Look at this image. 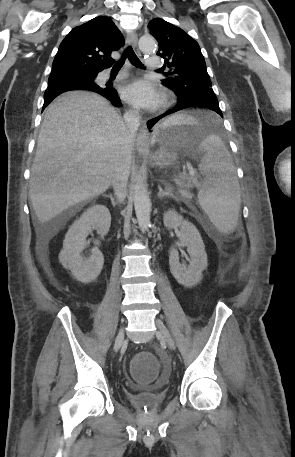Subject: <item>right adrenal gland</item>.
<instances>
[{
	"label": "right adrenal gland",
	"instance_id": "2a0ac1e0",
	"mask_svg": "<svg viewBox=\"0 0 295 457\" xmlns=\"http://www.w3.org/2000/svg\"><path fill=\"white\" fill-rule=\"evenodd\" d=\"M104 196L110 199L113 207H115L117 205V202L115 201V199L112 196V194H108V195H104Z\"/></svg>",
	"mask_w": 295,
	"mask_h": 457
}]
</instances>
